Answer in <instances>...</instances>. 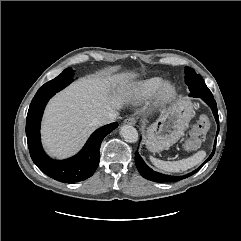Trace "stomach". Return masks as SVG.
Instances as JSON below:
<instances>
[{"mask_svg":"<svg viewBox=\"0 0 241 241\" xmlns=\"http://www.w3.org/2000/svg\"><path fill=\"white\" fill-rule=\"evenodd\" d=\"M193 103L180 98L164 109L158 119L143 125L145 144L152 152H160L175 144L184 134L193 114Z\"/></svg>","mask_w":241,"mask_h":241,"instance_id":"stomach-1","label":"stomach"}]
</instances>
